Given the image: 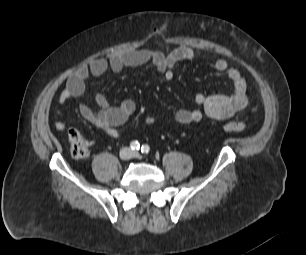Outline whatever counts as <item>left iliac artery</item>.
Instances as JSON below:
<instances>
[{
    "label": "left iliac artery",
    "mask_w": 306,
    "mask_h": 255,
    "mask_svg": "<svg viewBox=\"0 0 306 255\" xmlns=\"http://www.w3.org/2000/svg\"><path fill=\"white\" fill-rule=\"evenodd\" d=\"M149 151H150V147L147 144L142 145V147H141V152L142 153L147 154V153H149Z\"/></svg>",
    "instance_id": "obj_1"
}]
</instances>
